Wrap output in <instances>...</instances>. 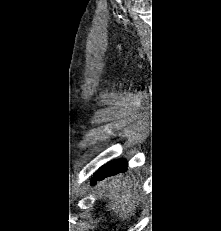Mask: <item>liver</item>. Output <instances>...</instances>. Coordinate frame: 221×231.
<instances>
[{
  "label": "liver",
  "instance_id": "liver-1",
  "mask_svg": "<svg viewBox=\"0 0 221 231\" xmlns=\"http://www.w3.org/2000/svg\"><path fill=\"white\" fill-rule=\"evenodd\" d=\"M99 187V194L104 193L111 200L107 205L108 210L113 211L122 219L134 215L136 207L143 199L139 181L130 177L116 176L101 183Z\"/></svg>",
  "mask_w": 221,
  "mask_h": 231
}]
</instances>
